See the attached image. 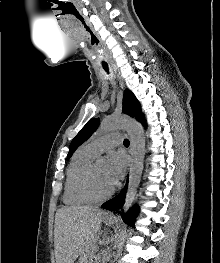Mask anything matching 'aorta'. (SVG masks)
<instances>
[{
  "label": "aorta",
  "instance_id": "762f6f07",
  "mask_svg": "<svg viewBox=\"0 0 220 263\" xmlns=\"http://www.w3.org/2000/svg\"><path fill=\"white\" fill-rule=\"evenodd\" d=\"M100 129L102 131H111L115 129H124L130 137L131 146V165L129 170V183L126 192L123 211L126 213L133 204L138 186L140 184L143 162L145 156V136L141 125L134 119L123 116H111L102 120ZM102 160V158L100 159ZM116 248V242L113 249Z\"/></svg>",
  "mask_w": 220,
  "mask_h": 263
}]
</instances>
